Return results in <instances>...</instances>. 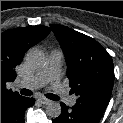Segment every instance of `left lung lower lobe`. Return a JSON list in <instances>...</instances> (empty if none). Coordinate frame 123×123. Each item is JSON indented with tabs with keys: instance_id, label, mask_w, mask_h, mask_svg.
<instances>
[{
	"instance_id": "left-lung-lower-lobe-1",
	"label": "left lung lower lobe",
	"mask_w": 123,
	"mask_h": 123,
	"mask_svg": "<svg viewBox=\"0 0 123 123\" xmlns=\"http://www.w3.org/2000/svg\"><path fill=\"white\" fill-rule=\"evenodd\" d=\"M61 108L60 116L54 119L53 123H98L101 119V117L86 113L75 106L69 108L61 103Z\"/></svg>"
}]
</instances>
